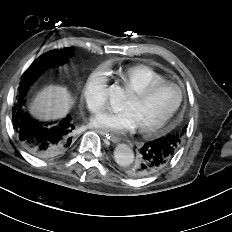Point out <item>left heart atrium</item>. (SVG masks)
Returning <instances> with one entry per match:
<instances>
[{
    "mask_svg": "<svg viewBox=\"0 0 232 232\" xmlns=\"http://www.w3.org/2000/svg\"><path fill=\"white\" fill-rule=\"evenodd\" d=\"M90 125L114 136L124 135L137 127L133 115L125 110L99 112L90 119Z\"/></svg>",
    "mask_w": 232,
    "mask_h": 232,
    "instance_id": "obj_1",
    "label": "left heart atrium"
}]
</instances>
